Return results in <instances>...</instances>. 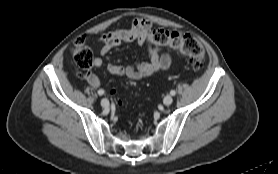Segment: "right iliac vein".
I'll list each match as a JSON object with an SVG mask.
<instances>
[{
	"mask_svg": "<svg viewBox=\"0 0 278 174\" xmlns=\"http://www.w3.org/2000/svg\"><path fill=\"white\" fill-rule=\"evenodd\" d=\"M109 101H108V99H106V98H103L102 100H101V106L103 107V108H109Z\"/></svg>",
	"mask_w": 278,
	"mask_h": 174,
	"instance_id": "obj_1",
	"label": "right iliac vein"
}]
</instances>
